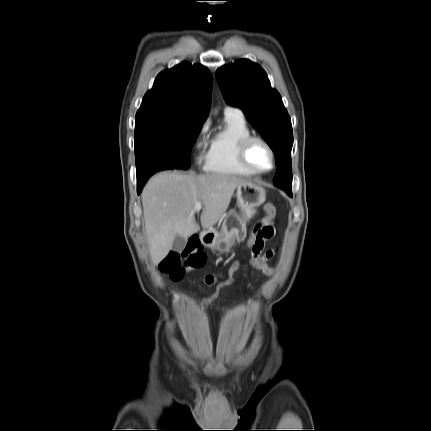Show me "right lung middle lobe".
<instances>
[{"mask_svg":"<svg viewBox=\"0 0 431 431\" xmlns=\"http://www.w3.org/2000/svg\"><path fill=\"white\" fill-rule=\"evenodd\" d=\"M201 128L200 123L172 119H136L137 173H144L155 167H159L160 170L187 169L190 165L192 145Z\"/></svg>","mask_w":431,"mask_h":431,"instance_id":"1","label":"right lung middle lobe"}]
</instances>
